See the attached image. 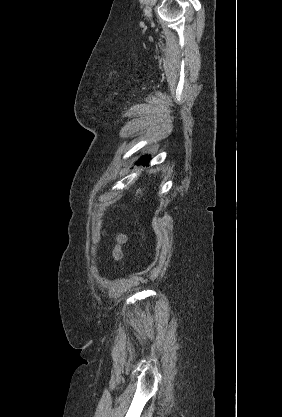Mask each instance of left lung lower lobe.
Returning <instances> with one entry per match:
<instances>
[{
  "mask_svg": "<svg viewBox=\"0 0 282 417\" xmlns=\"http://www.w3.org/2000/svg\"><path fill=\"white\" fill-rule=\"evenodd\" d=\"M140 161L142 162L143 165H147L149 158L148 157H142L140 159ZM136 164H140V162L138 161Z\"/></svg>",
  "mask_w": 282,
  "mask_h": 417,
  "instance_id": "1",
  "label": "left lung lower lobe"
}]
</instances>
